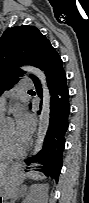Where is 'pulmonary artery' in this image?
Returning <instances> with one entry per match:
<instances>
[{
    "label": "pulmonary artery",
    "instance_id": "pulmonary-artery-1",
    "mask_svg": "<svg viewBox=\"0 0 89 203\" xmlns=\"http://www.w3.org/2000/svg\"><path fill=\"white\" fill-rule=\"evenodd\" d=\"M33 87H34V84L29 80H22L18 85V87L15 89V91L25 92ZM5 103H6V100L5 98H3L0 103L1 109L4 108Z\"/></svg>",
    "mask_w": 89,
    "mask_h": 203
}]
</instances>
